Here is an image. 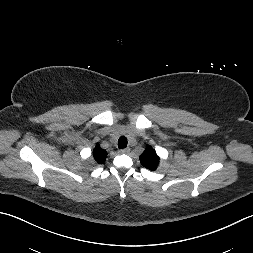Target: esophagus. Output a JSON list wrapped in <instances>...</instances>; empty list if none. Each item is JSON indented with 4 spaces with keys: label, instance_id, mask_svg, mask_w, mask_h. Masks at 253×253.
<instances>
[{
    "label": "esophagus",
    "instance_id": "esophagus-1",
    "mask_svg": "<svg viewBox=\"0 0 253 253\" xmlns=\"http://www.w3.org/2000/svg\"><path fill=\"white\" fill-rule=\"evenodd\" d=\"M119 152L122 153V154H127V153L130 152V149L129 148H123V149H120Z\"/></svg>",
    "mask_w": 253,
    "mask_h": 253
}]
</instances>
